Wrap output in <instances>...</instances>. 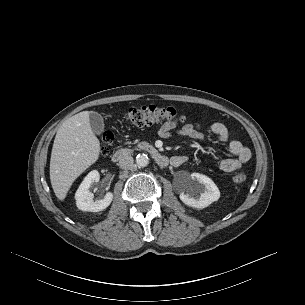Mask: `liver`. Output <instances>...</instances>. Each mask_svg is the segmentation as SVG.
<instances>
[{
  "mask_svg": "<svg viewBox=\"0 0 305 305\" xmlns=\"http://www.w3.org/2000/svg\"><path fill=\"white\" fill-rule=\"evenodd\" d=\"M89 111L67 119L58 129L50 159V181L56 197L63 201L72 185L100 154V142L89 122Z\"/></svg>",
  "mask_w": 305,
  "mask_h": 305,
  "instance_id": "6515ba94",
  "label": "liver"
}]
</instances>
